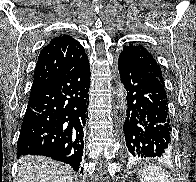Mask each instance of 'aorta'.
<instances>
[{
    "label": "aorta",
    "instance_id": "762f6f07",
    "mask_svg": "<svg viewBox=\"0 0 196 182\" xmlns=\"http://www.w3.org/2000/svg\"><path fill=\"white\" fill-rule=\"evenodd\" d=\"M122 90L120 89V95H123V93L121 92Z\"/></svg>",
    "mask_w": 196,
    "mask_h": 182
}]
</instances>
